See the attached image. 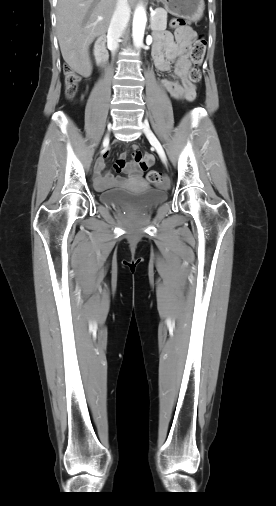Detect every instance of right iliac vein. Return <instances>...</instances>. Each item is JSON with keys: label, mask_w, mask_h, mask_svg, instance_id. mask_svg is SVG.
Segmentation results:
<instances>
[{"label": "right iliac vein", "mask_w": 276, "mask_h": 506, "mask_svg": "<svg viewBox=\"0 0 276 506\" xmlns=\"http://www.w3.org/2000/svg\"><path fill=\"white\" fill-rule=\"evenodd\" d=\"M108 141H109V136H108V135H106V137L104 138L103 143H104V144H106V143H108Z\"/></svg>", "instance_id": "right-iliac-vein-1"}]
</instances>
